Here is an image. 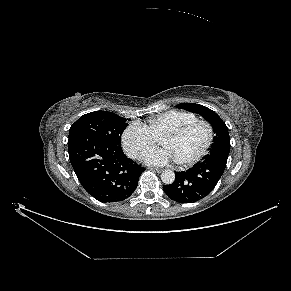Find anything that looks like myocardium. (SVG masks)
I'll return each mask as SVG.
<instances>
[{"label": "myocardium", "instance_id": "f54148a6", "mask_svg": "<svg viewBox=\"0 0 291 291\" xmlns=\"http://www.w3.org/2000/svg\"><path fill=\"white\" fill-rule=\"evenodd\" d=\"M197 125L205 126V128L207 130L206 142H205L204 146L202 147V149L199 151V153L196 154L191 159L184 160V161H177V163L180 165H183V166L194 165L195 163L199 162L207 154V152L210 149V147L213 143V140H214V130H213L212 125L206 120L196 119V120H193L191 122H188V123L176 128L172 131H169L161 138V142H162L163 140H165L167 138L181 137L182 135H184L185 133H187L189 130H191L193 127H195Z\"/></svg>", "mask_w": 291, "mask_h": 291}]
</instances>
